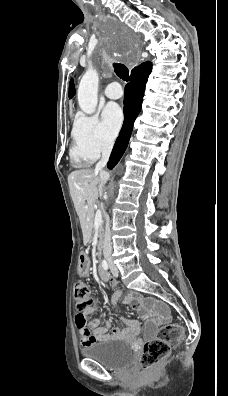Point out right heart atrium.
<instances>
[{"mask_svg": "<svg viewBox=\"0 0 228 396\" xmlns=\"http://www.w3.org/2000/svg\"><path fill=\"white\" fill-rule=\"evenodd\" d=\"M72 135L73 155L79 161L92 162L113 147L112 138L94 115H79L75 119Z\"/></svg>", "mask_w": 228, "mask_h": 396, "instance_id": "obj_1", "label": "right heart atrium"}]
</instances>
